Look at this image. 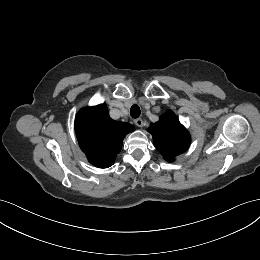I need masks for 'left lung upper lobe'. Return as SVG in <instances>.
I'll return each instance as SVG.
<instances>
[{
	"label": "left lung upper lobe",
	"instance_id": "1",
	"mask_svg": "<svg viewBox=\"0 0 260 260\" xmlns=\"http://www.w3.org/2000/svg\"><path fill=\"white\" fill-rule=\"evenodd\" d=\"M148 131L152 134L154 146L168 162L184 153L191 143L189 132L171 110L161 115L159 121L151 123Z\"/></svg>",
	"mask_w": 260,
	"mask_h": 260
}]
</instances>
